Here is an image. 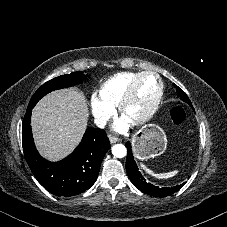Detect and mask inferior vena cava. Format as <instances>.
Segmentation results:
<instances>
[{"label":"inferior vena cava","mask_w":227,"mask_h":227,"mask_svg":"<svg viewBox=\"0 0 227 227\" xmlns=\"http://www.w3.org/2000/svg\"><path fill=\"white\" fill-rule=\"evenodd\" d=\"M107 121H108V119L106 117H100V116H97L94 119V123L99 128H104L107 124Z\"/></svg>","instance_id":"inferior-vena-cava-1"}]
</instances>
